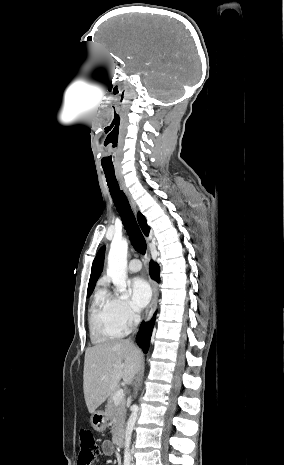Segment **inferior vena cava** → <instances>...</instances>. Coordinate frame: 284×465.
Segmentation results:
<instances>
[{"label":"inferior vena cava","mask_w":284,"mask_h":465,"mask_svg":"<svg viewBox=\"0 0 284 465\" xmlns=\"http://www.w3.org/2000/svg\"><path fill=\"white\" fill-rule=\"evenodd\" d=\"M140 321H141L140 315H133V323H134L135 327H137V325H139Z\"/></svg>","instance_id":"inferior-vena-cava-1"}]
</instances>
